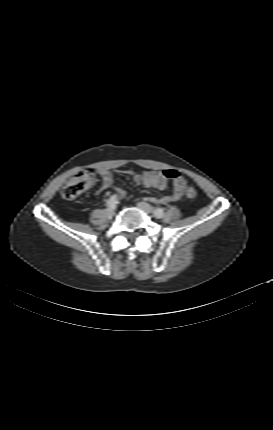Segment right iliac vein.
Listing matches in <instances>:
<instances>
[{"label": "right iliac vein", "mask_w": 273, "mask_h": 430, "mask_svg": "<svg viewBox=\"0 0 273 430\" xmlns=\"http://www.w3.org/2000/svg\"><path fill=\"white\" fill-rule=\"evenodd\" d=\"M106 212H107V214H108V215H110V216L114 215V209H112V208H108V209L106 210Z\"/></svg>", "instance_id": "right-iliac-vein-1"}]
</instances>
